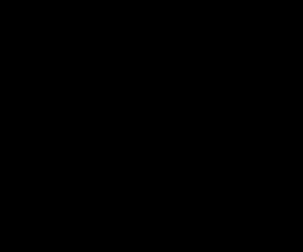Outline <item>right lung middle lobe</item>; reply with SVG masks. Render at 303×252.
Segmentation results:
<instances>
[{
	"mask_svg": "<svg viewBox=\"0 0 303 252\" xmlns=\"http://www.w3.org/2000/svg\"><path fill=\"white\" fill-rule=\"evenodd\" d=\"M118 86L119 83L115 82L110 85L109 91L107 89L97 97L92 90H89L85 94L77 120L101 127L110 125L112 122L119 124Z\"/></svg>",
	"mask_w": 303,
	"mask_h": 252,
	"instance_id": "1",
	"label": "right lung middle lobe"
}]
</instances>
